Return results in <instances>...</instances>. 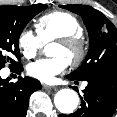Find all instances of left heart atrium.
I'll use <instances>...</instances> for the list:
<instances>
[{"instance_id":"left-heart-atrium-1","label":"left heart atrium","mask_w":117,"mask_h":117,"mask_svg":"<svg viewBox=\"0 0 117 117\" xmlns=\"http://www.w3.org/2000/svg\"><path fill=\"white\" fill-rule=\"evenodd\" d=\"M69 66V60L63 56L42 58L27 66V73L44 83H53Z\"/></svg>"}]
</instances>
